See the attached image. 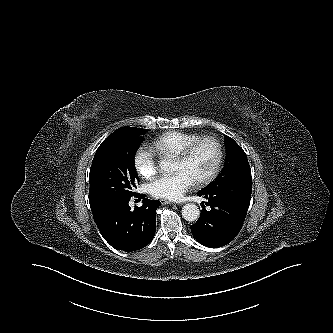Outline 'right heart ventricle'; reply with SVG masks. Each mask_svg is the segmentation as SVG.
Here are the masks:
<instances>
[{"label":"right heart ventricle","mask_w":333,"mask_h":333,"mask_svg":"<svg viewBox=\"0 0 333 333\" xmlns=\"http://www.w3.org/2000/svg\"><path fill=\"white\" fill-rule=\"evenodd\" d=\"M200 135L180 131H169L158 137L151 144L153 152L160 156H178L184 148L198 139Z\"/></svg>","instance_id":"right-heart-ventricle-1"}]
</instances>
